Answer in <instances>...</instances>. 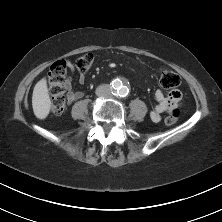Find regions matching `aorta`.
Wrapping results in <instances>:
<instances>
[{"mask_svg": "<svg viewBox=\"0 0 222 222\" xmlns=\"http://www.w3.org/2000/svg\"><path fill=\"white\" fill-rule=\"evenodd\" d=\"M112 87L113 89L116 91V93L119 95V96H126L128 93H129V89L127 86H125L121 80L119 79H115L113 82H112Z\"/></svg>", "mask_w": 222, "mask_h": 222, "instance_id": "obj_1", "label": "aorta"}]
</instances>
